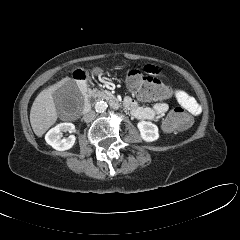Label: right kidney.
<instances>
[{
	"instance_id": "ca27d5eb",
	"label": "right kidney",
	"mask_w": 240,
	"mask_h": 240,
	"mask_svg": "<svg viewBox=\"0 0 240 240\" xmlns=\"http://www.w3.org/2000/svg\"><path fill=\"white\" fill-rule=\"evenodd\" d=\"M75 126L72 123H60L50 129L45 135L47 144L55 150L64 151L72 148L75 143V136L70 135L68 138H62L63 132H74Z\"/></svg>"
}]
</instances>
